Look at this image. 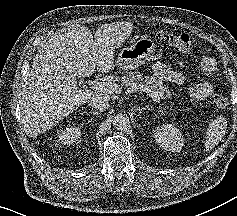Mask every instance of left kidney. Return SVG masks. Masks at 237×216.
<instances>
[{
  "label": "left kidney",
  "mask_w": 237,
  "mask_h": 216,
  "mask_svg": "<svg viewBox=\"0 0 237 216\" xmlns=\"http://www.w3.org/2000/svg\"><path fill=\"white\" fill-rule=\"evenodd\" d=\"M155 142L166 151L180 152L184 146V138L179 128L172 124H163L156 127Z\"/></svg>",
  "instance_id": "left-kidney-1"
}]
</instances>
